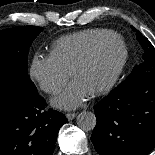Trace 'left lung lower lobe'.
Masks as SVG:
<instances>
[{
  "label": "left lung lower lobe",
  "mask_w": 155,
  "mask_h": 155,
  "mask_svg": "<svg viewBox=\"0 0 155 155\" xmlns=\"http://www.w3.org/2000/svg\"><path fill=\"white\" fill-rule=\"evenodd\" d=\"M100 155H148L155 147V70L123 81L95 107Z\"/></svg>",
  "instance_id": "0a47b994"
}]
</instances>
